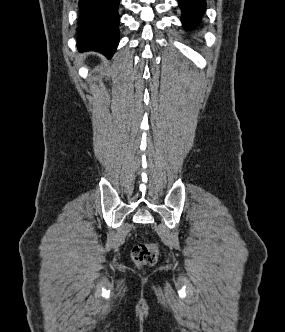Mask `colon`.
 I'll list each match as a JSON object with an SVG mask.
<instances>
[{"mask_svg": "<svg viewBox=\"0 0 285 332\" xmlns=\"http://www.w3.org/2000/svg\"><path fill=\"white\" fill-rule=\"evenodd\" d=\"M158 257L157 247L153 243H139L131 250V258L139 266H152Z\"/></svg>", "mask_w": 285, "mask_h": 332, "instance_id": "colon-1", "label": "colon"}]
</instances>
